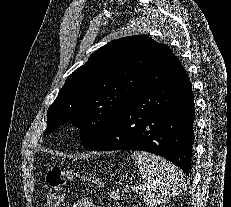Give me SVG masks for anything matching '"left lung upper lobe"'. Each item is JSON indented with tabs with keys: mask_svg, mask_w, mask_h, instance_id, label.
Wrapping results in <instances>:
<instances>
[{
	"mask_svg": "<svg viewBox=\"0 0 231 207\" xmlns=\"http://www.w3.org/2000/svg\"><path fill=\"white\" fill-rule=\"evenodd\" d=\"M168 46L145 35L109 42L67 78L47 112L49 134L65 123L80 128L90 148L118 115L146 88L149 74Z\"/></svg>",
	"mask_w": 231,
	"mask_h": 207,
	"instance_id": "5c2ea615",
	"label": "left lung upper lobe"
}]
</instances>
